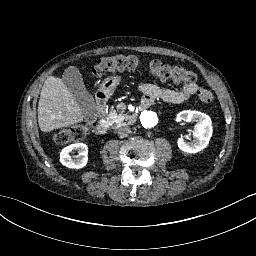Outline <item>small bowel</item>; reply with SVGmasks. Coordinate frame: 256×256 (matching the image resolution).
I'll use <instances>...</instances> for the list:
<instances>
[{"mask_svg": "<svg viewBox=\"0 0 256 256\" xmlns=\"http://www.w3.org/2000/svg\"><path fill=\"white\" fill-rule=\"evenodd\" d=\"M138 90L143 94V104L149 105L155 100L167 103L179 104L193 97L198 91V85L192 82H184L178 90L163 88L152 83H141Z\"/></svg>", "mask_w": 256, "mask_h": 256, "instance_id": "c3829d8e", "label": "small bowel"}]
</instances>
